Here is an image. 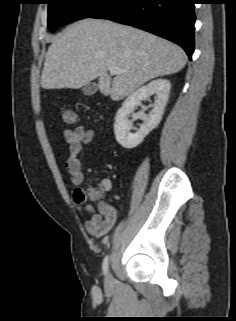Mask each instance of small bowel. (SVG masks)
Listing matches in <instances>:
<instances>
[{
    "label": "small bowel",
    "instance_id": "1",
    "mask_svg": "<svg viewBox=\"0 0 236 321\" xmlns=\"http://www.w3.org/2000/svg\"><path fill=\"white\" fill-rule=\"evenodd\" d=\"M64 138L69 145V156L66 159L65 166L69 174L70 181L75 189L73 190V203L82 215H89L90 218L85 222V229L94 237L105 235L115 224L117 219V209L107 203L103 198L111 188L112 183L107 178L99 181L98 189L102 195L97 200L96 208L86 203L78 194L79 186L85 181V175L82 171L80 156L83 153L84 146L91 143L95 138V132L79 125L74 129H67L64 132Z\"/></svg>",
    "mask_w": 236,
    "mask_h": 321
}]
</instances>
